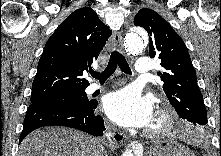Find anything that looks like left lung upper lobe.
I'll return each mask as SVG.
<instances>
[{
    "label": "left lung upper lobe",
    "instance_id": "5c2ea615",
    "mask_svg": "<svg viewBox=\"0 0 221 156\" xmlns=\"http://www.w3.org/2000/svg\"><path fill=\"white\" fill-rule=\"evenodd\" d=\"M134 25L149 34V56L161 60L163 90L185 122L195 126L207 123V112L187 47L171 25L157 12L143 8L134 18Z\"/></svg>",
    "mask_w": 221,
    "mask_h": 156
}]
</instances>
